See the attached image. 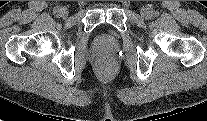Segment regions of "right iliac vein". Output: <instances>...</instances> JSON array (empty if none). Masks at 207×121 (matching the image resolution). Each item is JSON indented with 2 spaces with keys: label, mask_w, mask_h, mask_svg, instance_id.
<instances>
[{
  "label": "right iliac vein",
  "mask_w": 207,
  "mask_h": 121,
  "mask_svg": "<svg viewBox=\"0 0 207 121\" xmlns=\"http://www.w3.org/2000/svg\"><path fill=\"white\" fill-rule=\"evenodd\" d=\"M68 14H69V12H68V10L66 8H60V14L59 15L62 18H66L68 16Z\"/></svg>",
  "instance_id": "63e3f726"
}]
</instances>
